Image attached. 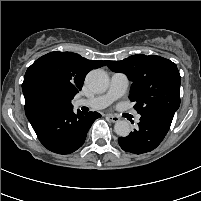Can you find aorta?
I'll return each instance as SVG.
<instances>
[{
  "instance_id": "762f6f07",
  "label": "aorta",
  "mask_w": 201,
  "mask_h": 201,
  "mask_svg": "<svg viewBox=\"0 0 201 201\" xmlns=\"http://www.w3.org/2000/svg\"><path fill=\"white\" fill-rule=\"evenodd\" d=\"M86 84L93 92L103 93L108 88L109 78L103 70L95 69L88 73ZM114 130L118 136L126 137L131 132V126L128 121L120 120L115 123Z\"/></svg>"
}]
</instances>
